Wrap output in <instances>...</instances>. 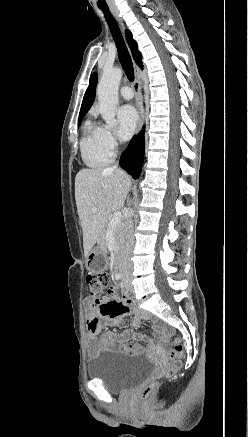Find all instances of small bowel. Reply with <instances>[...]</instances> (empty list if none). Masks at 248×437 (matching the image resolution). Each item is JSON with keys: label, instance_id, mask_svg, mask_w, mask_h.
<instances>
[{"label": "small bowel", "instance_id": "obj_1", "mask_svg": "<svg viewBox=\"0 0 248 437\" xmlns=\"http://www.w3.org/2000/svg\"><path fill=\"white\" fill-rule=\"evenodd\" d=\"M109 293L114 295L113 291H109ZM83 305L88 307L86 315L88 316V355L90 357L96 356L102 348L125 353L155 351L160 348V345L165 340L164 330L158 324L155 326L159 338L158 343L147 340L146 336L142 334H135L130 331L120 334L108 331L104 333L101 340L97 339V336L101 333L102 322L115 323L129 310L132 300L128 293H124L120 300L105 297L104 294H87L83 300ZM129 336L137 342H128ZM141 342L146 343L142 345Z\"/></svg>", "mask_w": 248, "mask_h": 437}]
</instances>
